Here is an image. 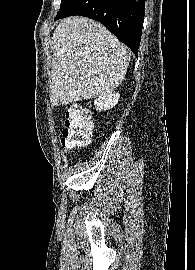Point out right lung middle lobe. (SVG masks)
<instances>
[{"label":"right lung middle lobe","instance_id":"right-lung-middle-lobe-1","mask_svg":"<svg viewBox=\"0 0 195 270\" xmlns=\"http://www.w3.org/2000/svg\"><path fill=\"white\" fill-rule=\"evenodd\" d=\"M75 0H61V6L58 14L64 12Z\"/></svg>","mask_w":195,"mask_h":270}]
</instances>
